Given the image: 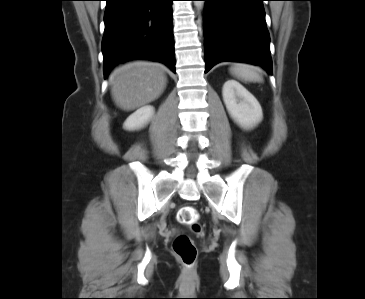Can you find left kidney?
<instances>
[{
	"label": "left kidney",
	"mask_w": 365,
	"mask_h": 299,
	"mask_svg": "<svg viewBox=\"0 0 365 299\" xmlns=\"http://www.w3.org/2000/svg\"><path fill=\"white\" fill-rule=\"evenodd\" d=\"M222 95L229 114L241 127L249 129L262 121L263 113L259 102L237 81H226Z\"/></svg>",
	"instance_id": "1"
}]
</instances>
